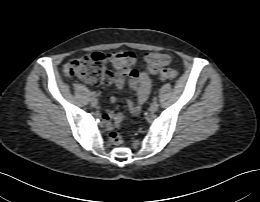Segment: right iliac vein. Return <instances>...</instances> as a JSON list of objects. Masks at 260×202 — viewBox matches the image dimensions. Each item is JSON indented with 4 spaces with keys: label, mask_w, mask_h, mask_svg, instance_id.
I'll return each mask as SVG.
<instances>
[{
    "label": "right iliac vein",
    "mask_w": 260,
    "mask_h": 202,
    "mask_svg": "<svg viewBox=\"0 0 260 202\" xmlns=\"http://www.w3.org/2000/svg\"><path fill=\"white\" fill-rule=\"evenodd\" d=\"M90 103H91L92 106H97L98 101H97L96 98H91Z\"/></svg>",
    "instance_id": "obj_1"
}]
</instances>
